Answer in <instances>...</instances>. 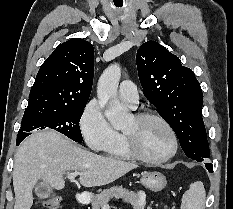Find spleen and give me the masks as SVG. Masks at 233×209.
<instances>
[{
	"instance_id": "1",
	"label": "spleen",
	"mask_w": 233,
	"mask_h": 209,
	"mask_svg": "<svg viewBox=\"0 0 233 209\" xmlns=\"http://www.w3.org/2000/svg\"><path fill=\"white\" fill-rule=\"evenodd\" d=\"M206 192L201 181L191 184L182 197V209H204Z\"/></svg>"
}]
</instances>
